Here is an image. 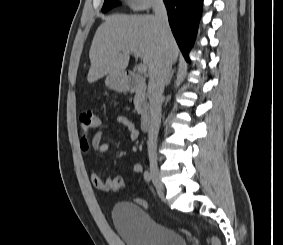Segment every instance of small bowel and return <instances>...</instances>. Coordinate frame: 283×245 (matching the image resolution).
<instances>
[{
	"instance_id": "1",
	"label": "small bowel",
	"mask_w": 283,
	"mask_h": 245,
	"mask_svg": "<svg viewBox=\"0 0 283 245\" xmlns=\"http://www.w3.org/2000/svg\"><path fill=\"white\" fill-rule=\"evenodd\" d=\"M117 123L124 126L128 130L129 139L135 141L139 137V130L136 125L131 122L125 116H118L116 119ZM81 144L85 151L93 150L97 156L101 153L108 151L110 144L104 140L103 132L98 131L91 138L87 134H82ZM133 173H141L142 165L140 163H135L132 166ZM91 183L99 191H109L112 190V180L113 178L101 179L94 171L90 174Z\"/></svg>"
}]
</instances>
